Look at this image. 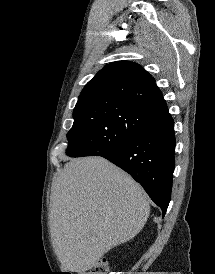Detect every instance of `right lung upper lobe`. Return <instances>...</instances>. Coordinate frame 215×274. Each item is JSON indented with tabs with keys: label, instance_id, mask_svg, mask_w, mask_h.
Listing matches in <instances>:
<instances>
[{
	"label": "right lung upper lobe",
	"instance_id": "right-lung-upper-lobe-1",
	"mask_svg": "<svg viewBox=\"0 0 215 274\" xmlns=\"http://www.w3.org/2000/svg\"><path fill=\"white\" fill-rule=\"evenodd\" d=\"M96 100L121 101L156 115L168 111L153 77L129 61L106 65L86 84L77 104Z\"/></svg>",
	"mask_w": 215,
	"mask_h": 274
}]
</instances>
